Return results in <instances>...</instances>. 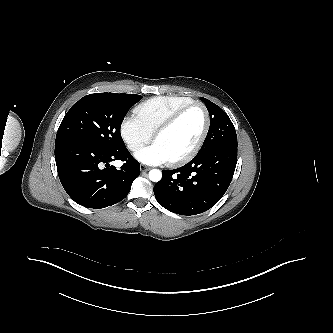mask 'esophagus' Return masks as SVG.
I'll use <instances>...</instances> for the list:
<instances>
[{"label":"esophagus","mask_w":333,"mask_h":333,"mask_svg":"<svg viewBox=\"0 0 333 333\" xmlns=\"http://www.w3.org/2000/svg\"><path fill=\"white\" fill-rule=\"evenodd\" d=\"M140 170H141L142 172H146V171H149V170H150V167H148V166H146V165H141V166H140Z\"/></svg>","instance_id":"34e87169"}]
</instances>
